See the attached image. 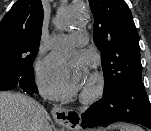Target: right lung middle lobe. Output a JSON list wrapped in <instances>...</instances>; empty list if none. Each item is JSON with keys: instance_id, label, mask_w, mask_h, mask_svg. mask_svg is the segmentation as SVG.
Returning a JSON list of instances; mask_svg holds the SVG:
<instances>
[{"instance_id": "dd1d6c3e", "label": "right lung middle lobe", "mask_w": 151, "mask_h": 131, "mask_svg": "<svg viewBox=\"0 0 151 131\" xmlns=\"http://www.w3.org/2000/svg\"><path fill=\"white\" fill-rule=\"evenodd\" d=\"M36 53L30 54L22 48L0 52V76H5L12 83L34 76L33 61Z\"/></svg>"}]
</instances>
